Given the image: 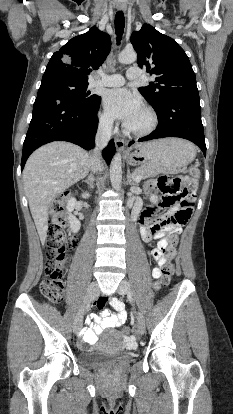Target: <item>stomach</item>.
I'll use <instances>...</instances> for the list:
<instances>
[{"mask_svg":"<svg viewBox=\"0 0 233 414\" xmlns=\"http://www.w3.org/2000/svg\"><path fill=\"white\" fill-rule=\"evenodd\" d=\"M196 156L192 143L166 138L142 144L127 155L130 165L148 167L158 172H177L191 163Z\"/></svg>","mask_w":233,"mask_h":414,"instance_id":"0dacf381","label":"stomach"}]
</instances>
